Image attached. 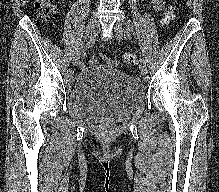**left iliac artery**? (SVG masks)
<instances>
[{
	"label": "left iliac artery",
	"mask_w": 219,
	"mask_h": 192,
	"mask_svg": "<svg viewBox=\"0 0 219 192\" xmlns=\"http://www.w3.org/2000/svg\"><path fill=\"white\" fill-rule=\"evenodd\" d=\"M129 31H130V30H129ZM124 36H125V38H130V33L126 30V31L124 32ZM140 61L145 62V60H144L143 57L140 58Z\"/></svg>",
	"instance_id": "1"
}]
</instances>
